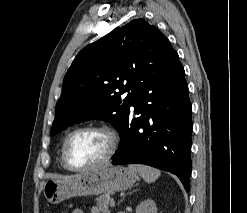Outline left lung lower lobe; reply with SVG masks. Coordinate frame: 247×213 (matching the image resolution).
Listing matches in <instances>:
<instances>
[{
    "label": "left lung lower lobe",
    "mask_w": 247,
    "mask_h": 213,
    "mask_svg": "<svg viewBox=\"0 0 247 213\" xmlns=\"http://www.w3.org/2000/svg\"><path fill=\"white\" fill-rule=\"evenodd\" d=\"M113 164L169 171L190 190L192 105L176 51L156 64L137 88ZM140 115V116H139Z\"/></svg>",
    "instance_id": "left-lung-lower-lobe-1"
}]
</instances>
